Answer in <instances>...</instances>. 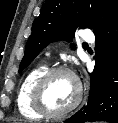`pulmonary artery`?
I'll return each instance as SVG.
<instances>
[{
	"label": "pulmonary artery",
	"instance_id": "pulmonary-artery-1",
	"mask_svg": "<svg viewBox=\"0 0 118 123\" xmlns=\"http://www.w3.org/2000/svg\"><path fill=\"white\" fill-rule=\"evenodd\" d=\"M82 38L85 41H92L93 40V35L91 34L90 31L86 30L83 34H82Z\"/></svg>",
	"mask_w": 118,
	"mask_h": 123
}]
</instances>
